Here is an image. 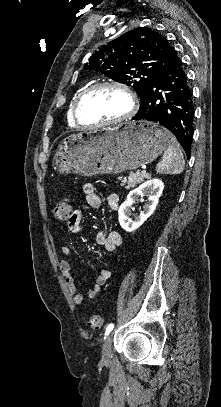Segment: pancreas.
<instances>
[{
	"label": "pancreas",
	"instance_id": "1",
	"mask_svg": "<svg viewBox=\"0 0 221 407\" xmlns=\"http://www.w3.org/2000/svg\"><path fill=\"white\" fill-rule=\"evenodd\" d=\"M145 177H149V175L130 173L128 179L123 178L121 186H125V184H127V189L135 187L137 184L143 182Z\"/></svg>",
	"mask_w": 221,
	"mask_h": 407
}]
</instances>
